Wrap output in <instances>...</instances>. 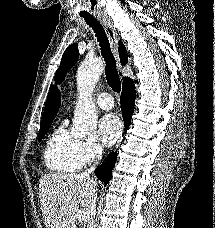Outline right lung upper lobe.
<instances>
[{"mask_svg": "<svg viewBox=\"0 0 215 228\" xmlns=\"http://www.w3.org/2000/svg\"><path fill=\"white\" fill-rule=\"evenodd\" d=\"M119 56L121 64L125 65L127 62L128 54L122 42H119ZM60 99L61 95L57 88L51 87L45 104L41 124L50 122L52 123L59 110Z\"/></svg>", "mask_w": 215, "mask_h": 228, "instance_id": "1", "label": "right lung upper lobe"}]
</instances>
